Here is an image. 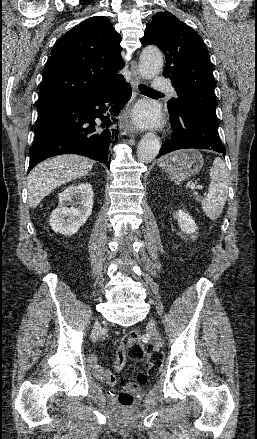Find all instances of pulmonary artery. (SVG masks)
Here are the masks:
<instances>
[{"instance_id":"obj_1","label":"pulmonary artery","mask_w":257,"mask_h":439,"mask_svg":"<svg viewBox=\"0 0 257 439\" xmlns=\"http://www.w3.org/2000/svg\"><path fill=\"white\" fill-rule=\"evenodd\" d=\"M153 89L158 93H166L169 95H175L171 83L168 78L163 76H157L153 80Z\"/></svg>"}]
</instances>
